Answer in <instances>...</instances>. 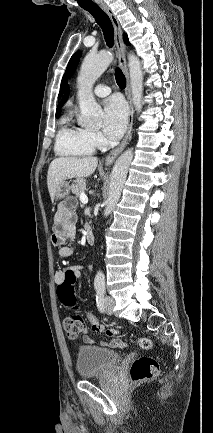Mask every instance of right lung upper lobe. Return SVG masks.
I'll use <instances>...</instances> for the list:
<instances>
[{"label":"right lung upper lobe","mask_w":213,"mask_h":433,"mask_svg":"<svg viewBox=\"0 0 213 433\" xmlns=\"http://www.w3.org/2000/svg\"><path fill=\"white\" fill-rule=\"evenodd\" d=\"M69 96V88L67 87L66 93L63 97V99L61 100L60 104L58 105V108L56 110V116L58 117V113H59V109L63 106V104L66 102V100L68 99Z\"/></svg>","instance_id":"cb5924a9"}]
</instances>
